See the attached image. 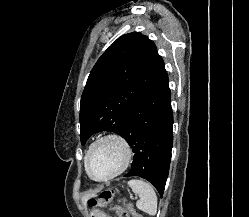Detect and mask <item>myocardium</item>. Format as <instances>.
<instances>
[{
	"label": "myocardium",
	"instance_id": "f54148a6",
	"mask_svg": "<svg viewBox=\"0 0 249 217\" xmlns=\"http://www.w3.org/2000/svg\"><path fill=\"white\" fill-rule=\"evenodd\" d=\"M107 141H113V142H116L117 144L120 145V147L122 148V150L124 152L123 161H122L121 165L111 174H109L105 177H102V178H97V177H94L90 171L89 159H90V156H91L92 152L94 151V149L99 144H101L103 142H107ZM132 157H133V151H132V147H131L130 143L128 142V140L123 135H121L119 133L110 132V133H107V134L100 136L90 145V147L85 155V158H84L85 171H86L87 175L94 181H97V182L110 181V180L114 179L115 177L119 176L120 174H122L128 168V166L130 165V163L132 161Z\"/></svg>",
	"mask_w": 249,
	"mask_h": 217
}]
</instances>
